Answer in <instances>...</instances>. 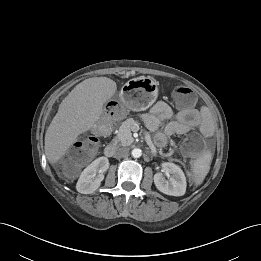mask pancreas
<instances>
[{"mask_svg":"<svg viewBox=\"0 0 261 261\" xmlns=\"http://www.w3.org/2000/svg\"><path fill=\"white\" fill-rule=\"evenodd\" d=\"M139 123L133 118L125 120L119 127L116 137L113 139V144H119L121 146H129L134 141L131 131H135L138 128Z\"/></svg>","mask_w":261,"mask_h":261,"instance_id":"obj_1","label":"pancreas"}]
</instances>
